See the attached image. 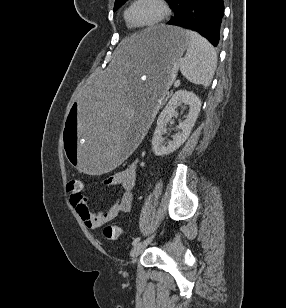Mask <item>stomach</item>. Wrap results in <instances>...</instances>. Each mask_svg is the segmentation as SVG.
<instances>
[{"label": "stomach", "instance_id": "stomach-1", "mask_svg": "<svg viewBox=\"0 0 286 308\" xmlns=\"http://www.w3.org/2000/svg\"><path fill=\"white\" fill-rule=\"evenodd\" d=\"M141 33L126 36L96 81H88L87 91L73 100L63 151L74 173L104 177L121 168L147 125H154L155 107L174 82L190 39L186 30L168 25Z\"/></svg>", "mask_w": 286, "mask_h": 308}]
</instances>
